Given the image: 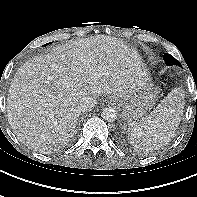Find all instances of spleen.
I'll list each match as a JSON object with an SVG mask.
<instances>
[{
	"instance_id": "obj_1",
	"label": "spleen",
	"mask_w": 197,
	"mask_h": 197,
	"mask_svg": "<svg viewBox=\"0 0 197 197\" xmlns=\"http://www.w3.org/2000/svg\"><path fill=\"white\" fill-rule=\"evenodd\" d=\"M185 93L174 88L146 117L128 126L130 143L141 150H153L169 143L180 124L185 106Z\"/></svg>"
}]
</instances>
